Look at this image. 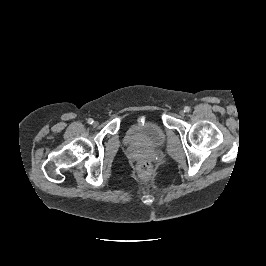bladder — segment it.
Listing matches in <instances>:
<instances>
[{"mask_svg":"<svg viewBox=\"0 0 266 266\" xmlns=\"http://www.w3.org/2000/svg\"><path fill=\"white\" fill-rule=\"evenodd\" d=\"M164 129L155 121L142 120L131 124L124 133V141L128 146L138 150H150L165 143Z\"/></svg>","mask_w":266,"mask_h":266,"instance_id":"1","label":"bladder"}]
</instances>
